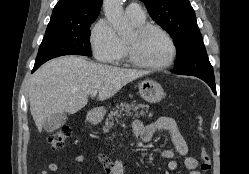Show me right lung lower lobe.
<instances>
[{
    "label": "right lung lower lobe",
    "mask_w": 249,
    "mask_h": 174,
    "mask_svg": "<svg viewBox=\"0 0 249 174\" xmlns=\"http://www.w3.org/2000/svg\"><path fill=\"white\" fill-rule=\"evenodd\" d=\"M41 65H34V68L32 70V72H34L36 69H38Z\"/></svg>",
    "instance_id": "98d812e1"
}]
</instances>
